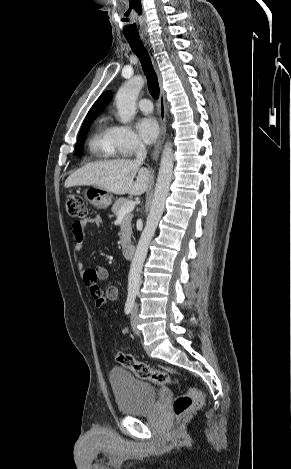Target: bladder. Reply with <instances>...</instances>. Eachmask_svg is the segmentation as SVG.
Segmentation results:
<instances>
[{"instance_id":"obj_1","label":"bladder","mask_w":291,"mask_h":469,"mask_svg":"<svg viewBox=\"0 0 291 469\" xmlns=\"http://www.w3.org/2000/svg\"><path fill=\"white\" fill-rule=\"evenodd\" d=\"M109 380L117 409L123 416H139L149 412L156 401V389L126 369L113 368Z\"/></svg>"}]
</instances>
